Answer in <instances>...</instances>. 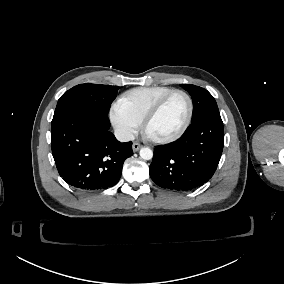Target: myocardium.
Masks as SVG:
<instances>
[{
    "label": "myocardium",
    "mask_w": 284,
    "mask_h": 284,
    "mask_svg": "<svg viewBox=\"0 0 284 284\" xmlns=\"http://www.w3.org/2000/svg\"><path fill=\"white\" fill-rule=\"evenodd\" d=\"M177 93H181L183 94L187 101H188V105H189V110H188V115L187 118L185 120V122L183 123V125L181 126V128L172 136L167 137V138H153L151 136L148 135L147 133V129L149 124L152 122V120L160 113V111L162 110V108L164 107V105L166 104V102L175 94ZM194 115V103L193 100L191 98V96L182 89H174L171 92L165 94L162 98H160L157 103L148 111V113L146 114L145 118L143 119L141 126H142V133L144 134V136L156 143V144H167V143H171L176 141L177 139H179L188 129V127L191 124L192 118Z\"/></svg>",
    "instance_id": "myocardium-1"
}]
</instances>
